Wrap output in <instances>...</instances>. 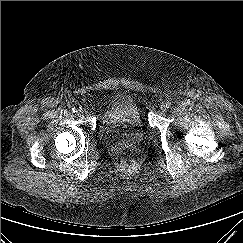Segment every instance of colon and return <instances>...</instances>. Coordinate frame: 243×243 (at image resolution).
<instances>
[{
	"instance_id": "colon-1",
	"label": "colon",
	"mask_w": 243,
	"mask_h": 243,
	"mask_svg": "<svg viewBox=\"0 0 243 243\" xmlns=\"http://www.w3.org/2000/svg\"><path fill=\"white\" fill-rule=\"evenodd\" d=\"M121 168L124 172L132 173L137 170V165L133 159L125 158L121 161Z\"/></svg>"
}]
</instances>
